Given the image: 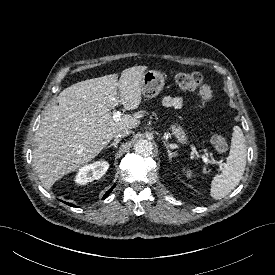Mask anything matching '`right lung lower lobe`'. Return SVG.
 Returning a JSON list of instances; mask_svg holds the SVG:
<instances>
[{"mask_svg": "<svg viewBox=\"0 0 275 275\" xmlns=\"http://www.w3.org/2000/svg\"><path fill=\"white\" fill-rule=\"evenodd\" d=\"M114 187H115V185H113V186L111 187V189H110L109 191H107L103 197L106 198V197L110 194V192L113 190ZM67 204H68L69 206L75 207V205H73V204H70V203H67Z\"/></svg>", "mask_w": 275, "mask_h": 275, "instance_id": "98d812e1", "label": "right lung lower lobe"}]
</instances>
